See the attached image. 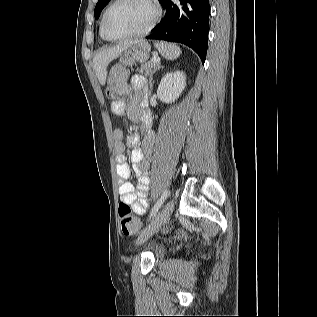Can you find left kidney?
<instances>
[{
	"instance_id": "left-kidney-1",
	"label": "left kidney",
	"mask_w": 317,
	"mask_h": 317,
	"mask_svg": "<svg viewBox=\"0 0 317 317\" xmlns=\"http://www.w3.org/2000/svg\"><path fill=\"white\" fill-rule=\"evenodd\" d=\"M186 86L184 72L176 71L167 73L162 79L157 89L158 98L165 103L174 102L181 95Z\"/></svg>"
}]
</instances>
